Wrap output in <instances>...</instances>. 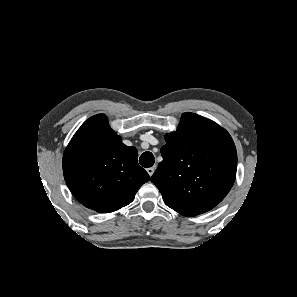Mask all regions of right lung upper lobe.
<instances>
[{
  "mask_svg": "<svg viewBox=\"0 0 297 297\" xmlns=\"http://www.w3.org/2000/svg\"><path fill=\"white\" fill-rule=\"evenodd\" d=\"M136 148L127 147L98 114L77 130L63 155L65 181L85 207L110 213L131 203L138 189L149 181L137 162Z\"/></svg>",
  "mask_w": 297,
  "mask_h": 297,
  "instance_id": "cb5924a9",
  "label": "right lung upper lobe"
}]
</instances>
